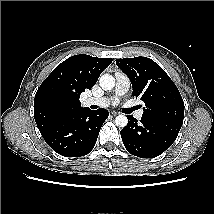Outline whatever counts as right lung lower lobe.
I'll use <instances>...</instances> for the list:
<instances>
[{
	"label": "right lung lower lobe",
	"mask_w": 214,
	"mask_h": 214,
	"mask_svg": "<svg viewBox=\"0 0 214 214\" xmlns=\"http://www.w3.org/2000/svg\"><path fill=\"white\" fill-rule=\"evenodd\" d=\"M108 111L85 108L76 111L42 134L46 143L65 157H80L93 149Z\"/></svg>",
	"instance_id": "right-lung-lower-lobe-1"
}]
</instances>
